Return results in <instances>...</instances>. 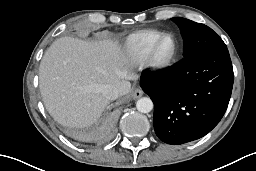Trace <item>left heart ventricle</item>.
<instances>
[{"label":"left heart ventricle","mask_w":256,"mask_h":171,"mask_svg":"<svg viewBox=\"0 0 256 171\" xmlns=\"http://www.w3.org/2000/svg\"><path fill=\"white\" fill-rule=\"evenodd\" d=\"M173 48V42L171 39H165L158 48L157 54L160 58H166L170 55Z\"/></svg>","instance_id":"b2bd125f"}]
</instances>
